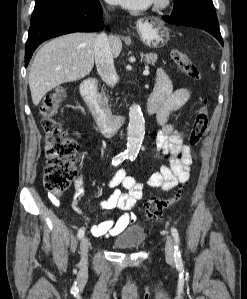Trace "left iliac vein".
Segmentation results:
<instances>
[{"mask_svg": "<svg viewBox=\"0 0 247 299\" xmlns=\"http://www.w3.org/2000/svg\"><path fill=\"white\" fill-rule=\"evenodd\" d=\"M165 255H166V260L169 263H172L174 260V244H173V239L168 236L166 245H165Z\"/></svg>", "mask_w": 247, "mask_h": 299, "instance_id": "4c4485c4", "label": "left iliac vein"}]
</instances>
